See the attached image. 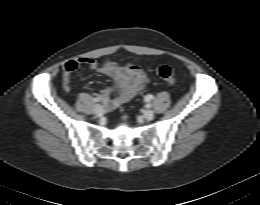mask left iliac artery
<instances>
[{"label": "left iliac artery", "instance_id": "1", "mask_svg": "<svg viewBox=\"0 0 260 205\" xmlns=\"http://www.w3.org/2000/svg\"><path fill=\"white\" fill-rule=\"evenodd\" d=\"M151 99H153V95H148L145 100H146L147 102H149ZM146 107H147V108H150V107H151V104H150V103H147Z\"/></svg>", "mask_w": 260, "mask_h": 205}]
</instances>
